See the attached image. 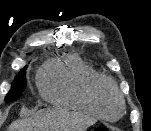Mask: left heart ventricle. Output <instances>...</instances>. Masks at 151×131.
Wrapping results in <instances>:
<instances>
[{
    "label": "left heart ventricle",
    "mask_w": 151,
    "mask_h": 131,
    "mask_svg": "<svg viewBox=\"0 0 151 131\" xmlns=\"http://www.w3.org/2000/svg\"><path fill=\"white\" fill-rule=\"evenodd\" d=\"M104 108L110 116L117 115L119 111V102L117 98L112 94L106 95L104 98Z\"/></svg>",
    "instance_id": "obj_1"
}]
</instances>
